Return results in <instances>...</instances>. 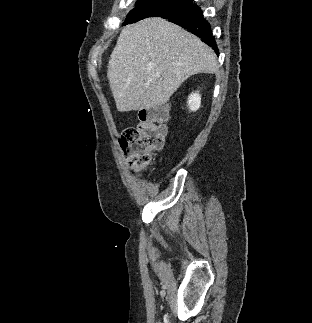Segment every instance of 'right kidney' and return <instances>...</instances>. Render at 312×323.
I'll return each mask as SVG.
<instances>
[{
	"instance_id": "right-kidney-1",
	"label": "right kidney",
	"mask_w": 312,
	"mask_h": 323,
	"mask_svg": "<svg viewBox=\"0 0 312 323\" xmlns=\"http://www.w3.org/2000/svg\"><path fill=\"white\" fill-rule=\"evenodd\" d=\"M187 104L191 112H196V110H199L201 106L200 94H198V92H195V94H190V96H188Z\"/></svg>"
}]
</instances>
